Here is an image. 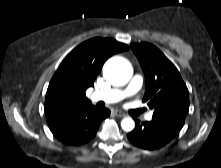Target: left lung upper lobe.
Instances as JSON below:
<instances>
[{
    "mask_svg": "<svg viewBox=\"0 0 221 168\" xmlns=\"http://www.w3.org/2000/svg\"><path fill=\"white\" fill-rule=\"evenodd\" d=\"M131 48L143 69V102L153 110V120L181 129L189 110V92L177 68L154 45L133 43Z\"/></svg>",
    "mask_w": 221,
    "mask_h": 168,
    "instance_id": "5c2ea615",
    "label": "left lung upper lobe"
}]
</instances>
